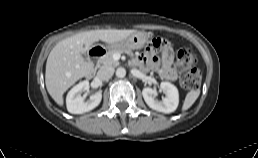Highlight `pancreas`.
Listing matches in <instances>:
<instances>
[{
    "label": "pancreas",
    "instance_id": "cf45deb5",
    "mask_svg": "<svg viewBox=\"0 0 258 158\" xmlns=\"http://www.w3.org/2000/svg\"><path fill=\"white\" fill-rule=\"evenodd\" d=\"M122 52H125V53L129 54L130 56H133L131 49L111 48L110 50H108V52L102 58L103 65L113 66V67L118 66L119 61L115 60L113 58V55L115 53H122Z\"/></svg>",
    "mask_w": 258,
    "mask_h": 158
}]
</instances>
